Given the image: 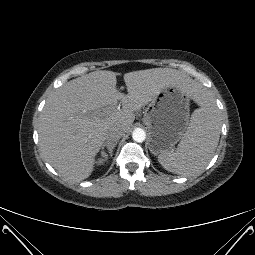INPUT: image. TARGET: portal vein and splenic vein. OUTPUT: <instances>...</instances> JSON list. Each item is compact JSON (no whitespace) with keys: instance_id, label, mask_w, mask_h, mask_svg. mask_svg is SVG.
Masks as SVG:
<instances>
[{"instance_id":"portal-vein-and-splenic-vein-1","label":"portal vein and splenic vein","mask_w":255,"mask_h":255,"mask_svg":"<svg viewBox=\"0 0 255 255\" xmlns=\"http://www.w3.org/2000/svg\"><path fill=\"white\" fill-rule=\"evenodd\" d=\"M112 110H113V107H108L107 110H106L105 112L109 114V113L112 112Z\"/></svg>"}]
</instances>
